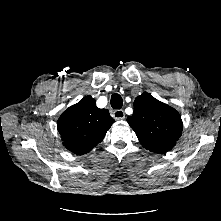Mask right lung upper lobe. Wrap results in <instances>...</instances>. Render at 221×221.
<instances>
[{"label": "right lung upper lobe", "mask_w": 221, "mask_h": 221, "mask_svg": "<svg viewBox=\"0 0 221 221\" xmlns=\"http://www.w3.org/2000/svg\"><path fill=\"white\" fill-rule=\"evenodd\" d=\"M114 122L108 110L99 109L91 96L69 107L58 119L63 145L81 155L90 152L105 137Z\"/></svg>", "instance_id": "obj_1"}]
</instances>
